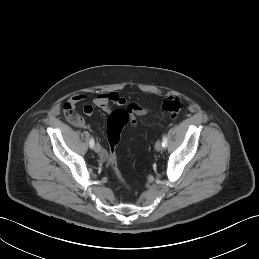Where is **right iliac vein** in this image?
<instances>
[{"mask_svg":"<svg viewBox=\"0 0 259 259\" xmlns=\"http://www.w3.org/2000/svg\"><path fill=\"white\" fill-rule=\"evenodd\" d=\"M94 151H95L96 153H99V152L101 151V146H100L99 144H95V146H94Z\"/></svg>","mask_w":259,"mask_h":259,"instance_id":"63e3f726","label":"right iliac vein"}]
</instances>
